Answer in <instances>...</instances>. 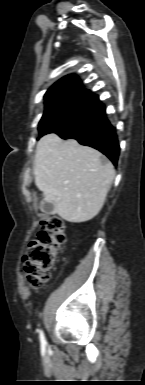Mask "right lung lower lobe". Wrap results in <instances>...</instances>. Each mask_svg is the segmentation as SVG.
Instances as JSON below:
<instances>
[{
	"mask_svg": "<svg viewBox=\"0 0 145 385\" xmlns=\"http://www.w3.org/2000/svg\"><path fill=\"white\" fill-rule=\"evenodd\" d=\"M61 138L76 139L80 144L93 147L117 165L119 144L115 130L105 116V107L98 100L89 110L67 127L57 132Z\"/></svg>",
	"mask_w": 145,
	"mask_h": 385,
	"instance_id": "right-lung-lower-lobe-1",
	"label": "right lung lower lobe"
}]
</instances>
